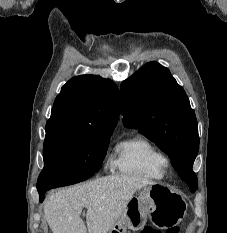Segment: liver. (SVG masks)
Returning <instances> with one entry per match:
<instances>
[{
  "mask_svg": "<svg viewBox=\"0 0 227 233\" xmlns=\"http://www.w3.org/2000/svg\"><path fill=\"white\" fill-rule=\"evenodd\" d=\"M156 184L140 175H111L51 195L44 215L52 233H107L137 190ZM87 209L86 223L81 218Z\"/></svg>",
  "mask_w": 227,
  "mask_h": 233,
  "instance_id": "1",
  "label": "liver"
}]
</instances>
